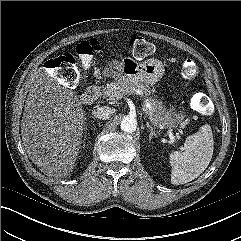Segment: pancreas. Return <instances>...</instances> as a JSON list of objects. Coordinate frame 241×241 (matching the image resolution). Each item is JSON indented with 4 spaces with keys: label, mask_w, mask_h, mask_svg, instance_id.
I'll list each match as a JSON object with an SVG mask.
<instances>
[{
    "label": "pancreas",
    "mask_w": 241,
    "mask_h": 241,
    "mask_svg": "<svg viewBox=\"0 0 241 241\" xmlns=\"http://www.w3.org/2000/svg\"><path fill=\"white\" fill-rule=\"evenodd\" d=\"M127 92H133L132 86H126L120 81H114L103 87L102 96L109 101L117 102V100L121 99ZM140 92L142 95L145 94V96L150 95L149 89H147L145 86H141ZM144 103V108L146 107V104L151 105V111H147L148 113L152 112L154 121L167 127H174L176 124L181 123L185 117L183 113H176L171 110H166L162 101H159L156 98L147 97Z\"/></svg>",
    "instance_id": "obj_1"
}]
</instances>
